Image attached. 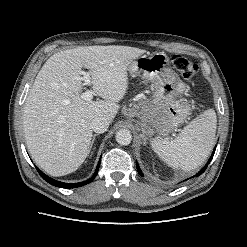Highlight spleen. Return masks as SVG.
<instances>
[{"mask_svg": "<svg viewBox=\"0 0 247 247\" xmlns=\"http://www.w3.org/2000/svg\"><path fill=\"white\" fill-rule=\"evenodd\" d=\"M216 123L215 111L206 110L185 126L174 140L152 139V148L170 167L191 171L209 156L215 143Z\"/></svg>", "mask_w": 247, "mask_h": 247, "instance_id": "spleen-1", "label": "spleen"}]
</instances>
